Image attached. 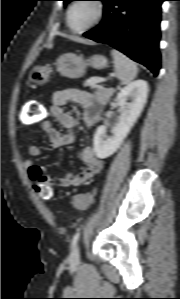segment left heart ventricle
I'll list each match as a JSON object with an SVG mask.
<instances>
[{"mask_svg":"<svg viewBox=\"0 0 180 299\" xmlns=\"http://www.w3.org/2000/svg\"><path fill=\"white\" fill-rule=\"evenodd\" d=\"M95 16V8L90 2H81L71 11L70 24L75 29H80L89 24Z\"/></svg>","mask_w":180,"mask_h":299,"instance_id":"b2bd125f","label":"left heart ventricle"}]
</instances>
